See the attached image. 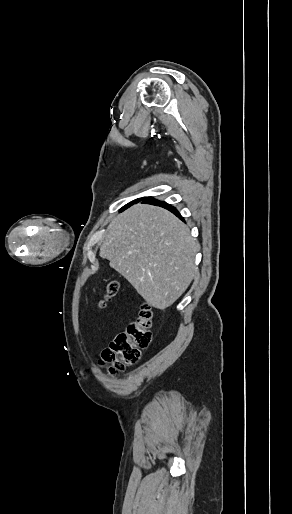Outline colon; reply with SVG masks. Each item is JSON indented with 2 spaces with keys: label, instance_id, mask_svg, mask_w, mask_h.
I'll list each match as a JSON object with an SVG mask.
<instances>
[{
  "label": "colon",
  "instance_id": "obj_1",
  "mask_svg": "<svg viewBox=\"0 0 292 514\" xmlns=\"http://www.w3.org/2000/svg\"><path fill=\"white\" fill-rule=\"evenodd\" d=\"M118 283L110 281L106 284L105 293L98 301L102 307L118 292ZM153 317L149 304H142L140 310L134 316L127 327V331L118 335L103 350L100 364L107 365V373L115 376L127 366L139 361L141 353L146 350L153 341Z\"/></svg>",
  "mask_w": 292,
  "mask_h": 514
}]
</instances>
